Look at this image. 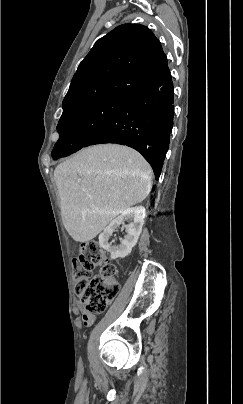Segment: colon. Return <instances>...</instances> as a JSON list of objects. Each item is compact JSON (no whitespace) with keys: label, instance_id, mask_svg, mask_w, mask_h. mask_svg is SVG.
I'll return each mask as SVG.
<instances>
[{"label":"colon","instance_id":"obj_1","mask_svg":"<svg viewBox=\"0 0 243 404\" xmlns=\"http://www.w3.org/2000/svg\"><path fill=\"white\" fill-rule=\"evenodd\" d=\"M99 271L90 276L91 272ZM76 293L90 314L103 312L118 293L116 267L95 241L84 242L75 261Z\"/></svg>","mask_w":243,"mask_h":404}]
</instances>
